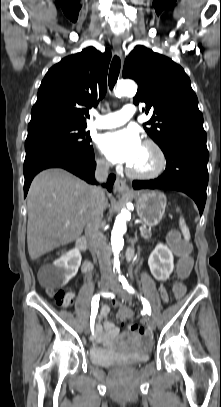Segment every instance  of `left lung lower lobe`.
<instances>
[{"mask_svg":"<svg viewBox=\"0 0 221 407\" xmlns=\"http://www.w3.org/2000/svg\"><path fill=\"white\" fill-rule=\"evenodd\" d=\"M206 140L205 132L186 131L175 135L163 151L167 161L165 172L154 180L133 181V188L184 192L193 198L201 215L208 184Z\"/></svg>","mask_w":221,"mask_h":407,"instance_id":"1","label":"left lung lower lobe"}]
</instances>
